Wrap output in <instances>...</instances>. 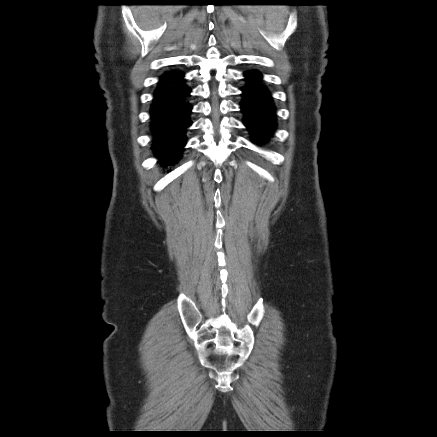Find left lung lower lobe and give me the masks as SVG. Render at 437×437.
<instances>
[{"instance_id":"0a47b994","label":"left lung lower lobe","mask_w":437,"mask_h":437,"mask_svg":"<svg viewBox=\"0 0 437 437\" xmlns=\"http://www.w3.org/2000/svg\"><path fill=\"white\" fill-rule=\"evenodd\" d=\"M241 111L244 124L249 129L253 142H267L276 129L275 106L267 87L262 83V74L256 70L244 73Z\"/></svg>"}]
</instances>
